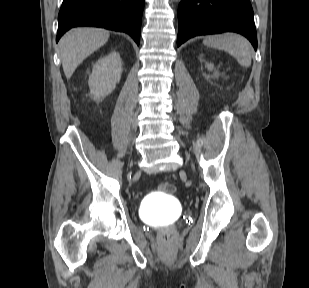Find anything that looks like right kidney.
I'll use <instances>...</instances> for the list:
<instances>
[{"instance_id": "1", "label": "right kidney", "mask_w": 309, "mask_h": 288, "mask_svg": "<svg viewBox=\"0 0 309 288\" xmlns=\"http://www.w3.org/2000/svg\"><path fill=\"white\" fill-rule=\"evenodd\" d=\"M122 62L118 52L101 57L93 66L88 85L95 100L108 96L120 81Z\"/></svg>"}]
</instances>
